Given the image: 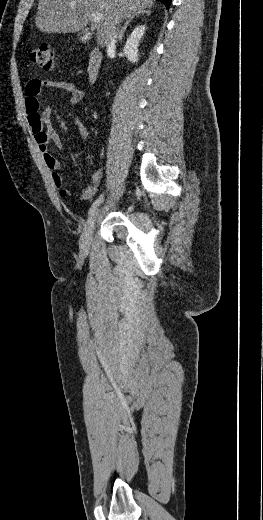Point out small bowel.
Here are the masks:
<instances>
[{
    "mask_svg": "<svg viewBox=\"0 0 263 520\" xmlns=\"http://www.w3.org/2000/svg\"><path fill=\"white\" fill-rule=\"evenodd\" d=\"M44 88L61 89L67 92L73 104L80 103L85 92L79 89L74 83L69 81H58L50 79H31L25 87V105L28 114V122L33 132L35 141L43 156L46 166L51 170V177L54 186L60 190L61 194L66 196L69 192L66 190V181L58 172L59 162L50 154L48 150L49 142L52 141L58 149H63L64 144L61 137L53 129L51 124V110L49 108H40V94ZM75 124L79 130L81 137L89 142L90 135L86 126L79 120L75 119ZM102 178V170L97 169L90 176V183L79 194L81 200L92 199L97 191Z\"/></svg>",
    "mask_w": 263,
    "mask_h": 520,
    "instance_id": "1",
    "label": "small bowel"
}]
</instances>
